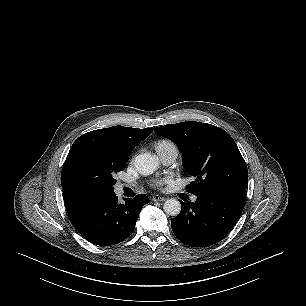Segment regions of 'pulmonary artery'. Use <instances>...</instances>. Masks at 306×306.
<instances>
[{
	"label": "pulmonary artery",
	"mask_w": 306,
	"mask_h": 306,
	"mask_svg": "<svg viewBox=\"0 0 306 306\" xmlns=\"http://www.w3.org/2000/svg\"><path fill=\"white\" fill-rule=\"evenodd\" d=\"M159 159L164 164L173 163L178 156V149L176 146H170L168 148L157 151ZM128 186L127 184L120 183L117 185V191L121 192L124 187ZM192 201H196V197H192Z\"/></svg>",
	"instance_id": "1"
}]
</instances>
